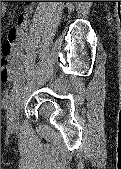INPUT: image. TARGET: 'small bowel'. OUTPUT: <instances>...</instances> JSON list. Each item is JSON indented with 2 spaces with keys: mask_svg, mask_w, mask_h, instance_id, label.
Returning a JSON list of instances; mask_svg holds the SVG:
<instances>
[{
  "mask_svg": "<svg viewBox=\"0 0 121 169\" xmlns=\"http://www.w3.org/2000/svg\"><path fill=\"white\" fill-rule=\"evenodd\" d=\"M1 1V14L7 12L6 3ZM32 7L25 8L24 13L17 18V24L10 30L7 43L2 48L1 57V81L8 82L22 74L26 62L27 31L29 27Z\"/></svg>",
  "mask_w": 121,
  "mask_h": 169,
  "instance_id": "c3829d8e",
  "label": "small bowel"
}]
</instances>
